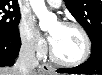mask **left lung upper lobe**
<instances>
[{
    "label": "left lung upper lobe",
    "instance_id": "5c2ea615",
    "mask_svg": "<svg viewBox=\"0 0 102 75\" xmlns=\"http://www.w3.org/2000/svg\"><path fill=\"white\" fill-rule=\"evenodd\" d=\"M67 9L84 27L91 42L102 38V1L64 0Z\"/></svg>",
    "mask_w": 102,
    "mask_h": 75
}]
</instances>
